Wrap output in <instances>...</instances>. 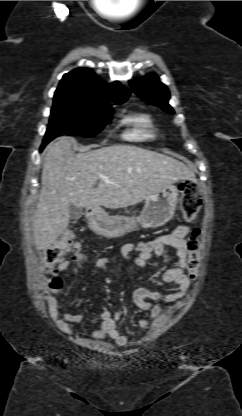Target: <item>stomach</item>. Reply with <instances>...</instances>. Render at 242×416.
Here are the masks:
<instances>
[{
  "instance_id": "obj_1",
  "label": "stomach",
  "mask_w": 242,
  "mask_h": 416,
  "mask_svg": "<svg viewBox=\"0 0 242 416\" xmlns=\"http://www.w3.org/2000/svg\"><path fill=\"white\" fill-rule=\"evenodd\" d=\"M179 192V187L173 183L160 189L146 201L137 218L109 216L100 210L89 212V228L97 235L113 239L137 228V225L145 229L161 227L172 219L179 201Z\"/></svg>"
}]
</instances>
